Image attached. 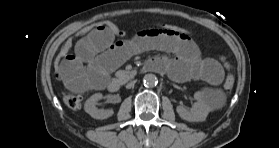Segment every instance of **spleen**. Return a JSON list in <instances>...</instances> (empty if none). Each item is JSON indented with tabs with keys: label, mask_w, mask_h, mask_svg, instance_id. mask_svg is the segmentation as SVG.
Returning <instances> with one entry per match:
<instances>
[{
	"label": "spleen",
	"mask_w": 279,
	"mask_h": 148,
	"mask_svg": "<svg viewBox=\"0 0 279 148\" xmlns=\"http://www.w3.org/2000/svg\"><path fill=\"white\" fill-rule=\"evenodd\" d=\"M207 98H208L209 104L211 105V108H213V109H220L226 103L225 94L221 90L207 91Z\"/></svg>",
	"instance_id": "3e777b00"
}]
</instances>
